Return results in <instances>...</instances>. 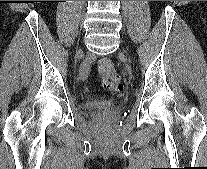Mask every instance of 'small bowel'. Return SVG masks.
I'll list each match as a JSON object with an SVG mask.
<instances>
[{
  "label": "small bowel",
  "mask_w": 207,
  "mask_h": 169,
  "mask_svg": "<svg viewBox=\"0 0 207 169\" xmlns=\"http://www.w3.org/2000/svg\"><path fill=\"white\" fill-rule=\"evenodd\" d=\"M87 70H88L87 67H83L81 72H85L86 73Z\"/></svg>",
  "instance_id": "1"
}]
</instances>
